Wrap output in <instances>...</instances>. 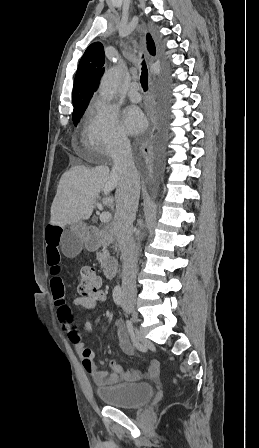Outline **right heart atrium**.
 Instances as JSON below:
<instances>
[{"label":"right heart atrium","instance_id":"d8ad5b80","mask_svg":"<svg viewBox=\"0 0 259 448\" xmlns=\"http://www.w3.org/2000/svg\"><path fill=\"white\" fill-rule=\"evenodd\" d=\"M90 111L93 120L86 136L88 147L98 157H116L128 146V138L116 111L98 96L93 97Z\"/></svg>","mask_w":259,"mask_h":448}]
</instances>
